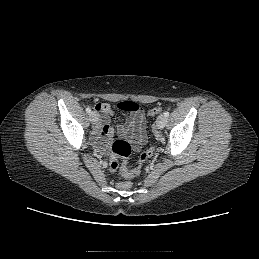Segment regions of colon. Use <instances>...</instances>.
<instances>
[{
  "label": "colon",
  "instance_id": "5ec220e1",
  "mask_svg": "<svg viewBox=\"0 0 259 259\" xmlns=\"http://www.w3.org/2000/svg\"><path fill=\"white\" fill-rule=\"evenodd\" d=\"M118 108L122 111L132 112L138 110L139 106L131 101H124L118 104ZM161 112V109L158 107L152 108L149 110L150 116H156ZM154 149L149 147L144 150L139 158L140 164L145 163L152 155ZM131 153L130 145L122 139L116 140L112 145V156L110 159V168L115 171L119 167L118 159L122 160L121 173L123 175V180H121L117 185L120 189H128L131 187L132 183L130 178L139 174L140 170L128 171L126 168L127 160Z\"/></svg>",
  "mask_w": 259,
  "mask_h": 259
}]
</instances>
